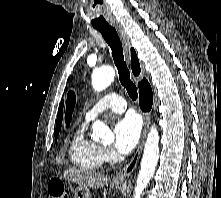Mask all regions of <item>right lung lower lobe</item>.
Returning a JSON list of instances; mask_svg holds the SVG:
<instances>
[{
  "label": "right lung lower lobe",
  "instance_id": "1",
  "mask_svg": "<svg viewBox=\"0 0 221 198\" xmlns=\"http://www.w3.org/2000/svg\"><path fill=\"white\" fill-rule=\"evenodd\" d=\"M139 87V104L143 111H149L153 103V94L149 83L144 79L138 84Z\"/></svg>",
  "mask_w": 221,
  "mask_h": 198
}]
</instances>
